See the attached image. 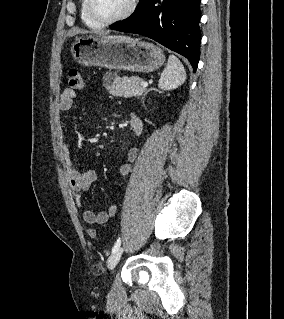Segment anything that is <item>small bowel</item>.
<instances>
[{"label": "small bowel", "mask_w": 284, "mask_h": 319, "mask_svg": "<svg viewBox=\"0 0 284 319\" xmlns=\"http://www.w3.org/2000/svg\"><path fill=\"white\" fill-rule=\"evenodd\" d=\"M76 93L73 89L67 88L60 95L58 108L61 111H68L72 108ZM131 129L135 134H140L143 131L144 125L141 119L133 114L131 118ZM67 150V149H66ZM138 149L132 148L128 153V162L120 167V175L126 179L131 174L132 163L136 160ZM67 176L74 192L75 203L78 208H83V193L88 191L96 179V172L93 169H86L81 172L71 162L69 153L66 156ZM117 208L115 205L109 206L106 210L94 212L89 209H83V220L87 224H104L116 214Z\"/></svg>", "instance_id": "c3829d8e"}]
</instances>
